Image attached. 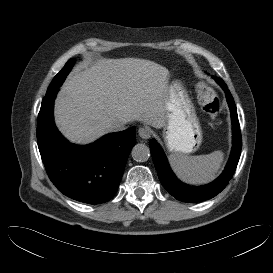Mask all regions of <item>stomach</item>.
<instances>
[{"mask_svg": "<svg viewBox=\"0 0 273 273\" xmlns=\"http://www.w3.org/2000/svg\"><path fill=\"white\" fill-rule=\"evenodd\" d=\"M164 140L170 152L188 154L202 142V129L194 105L180 80L167 84Z\"/></svg>", "mask_w": 273, "mask_h": 273, "instance_id": "obj_1", "label": "stomach"}]
</instances>
